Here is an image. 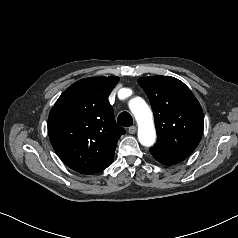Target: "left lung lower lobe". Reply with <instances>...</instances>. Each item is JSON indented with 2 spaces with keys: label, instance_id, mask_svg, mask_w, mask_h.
Segmentation results:
<instances>
[{
  "label": "left lung lower lobe",
  "instance_id": "1",
  "mask_svg": "<svg viewBox=\"0 0 238 238\" xmlns=\"http://www.w3.org/2000/svg\"><path fill=\"white\" fill-rule=\"evenodd\" d=\"M150 152L157 161H159L160 163L164 165H174L185 159L180 156H173V155L166 154L162 151L150 149Z\"/></svg>",
  "mask_w": 238,
  "mask_h": 238
}]
</instances>
